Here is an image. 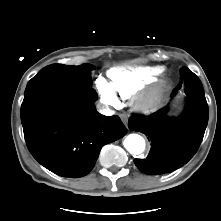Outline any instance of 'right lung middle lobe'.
Listing matches in <instances>:
<instances>
[{
	"mask_svg": "<svg viewBox=\"0 0 221 221\" xmlns=\"http://www.w3.org/2000/svg\"><path fill=\"white\" fill-rule=\"evenodd\" d=\"M92 69L94 67L91 64L80 66L53 64L41 69L30 81L45 80L75 87L91 86L90 71Z\"/></svg>",
	"mask_w": 221,
	"mask_h": 221,
	"instance_id": "obj_1",
	"label": "right lung middle lobe"
}]
</instances>
